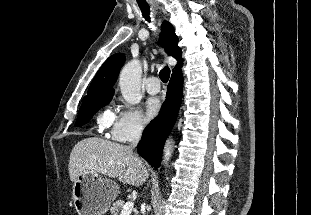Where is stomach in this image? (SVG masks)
<instances>
[{
  "instance_id": "0dacf381",
  "label": "stomach",
  "mask_w": 311,
  "mask_h": 215,
  "mask_svg": "<svg viewBox=\"0 0 311 215\" xmlns=\"http://www.w3.org/2000/svg\"><path fill=\"white\" fill-rule=\"evenodd\" d=\"M119 193L118 185L99 174L85 172L73 185V203L79 215H104Z\"/></svg>"
}]
</instances>
